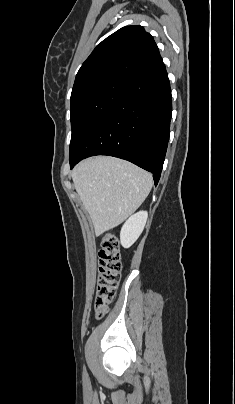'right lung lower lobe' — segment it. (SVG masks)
<instances>
[{
	"label": "right lung lower lobe",
	"mask_w": 235,
	"mask_h": 404,
	"mask_svg": "<svg viewBox=\"0 0 235 404\" xmlns=\"http://www.w3.org/2000/svg\"><path fill=\"white\" fill-rule=\"evenodd\" d=\"M172 97L166 68L129 81L119 100L70 154V165L94 155L128 160L153 173L157 185L167 150Z\"/></svg>",
	"instance_id": "right-lung-lower-lobe-1"
}]
</instances>
